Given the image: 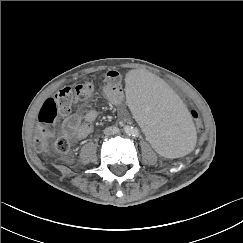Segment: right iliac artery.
I'll use <instances>...</instances> for the list:
<instances>
[{"label":"right iliac artery","mask_w":243,"mask_h":243,"mask_svg":"<svg viewBox=\"0 0 243 243\" xmlns=\"http://www.w3.org/2000/svg\"><path fill=\"white\" fill-rule=\"evenodd\" d=\"M125 130H126V132H129L130 131V128L129 127H126Z\"/></svg>","instance_id":"1"}]
</instances>
